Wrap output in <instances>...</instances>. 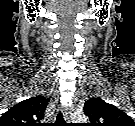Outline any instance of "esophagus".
I'll use <instances>...</instances> for the list:
<instances>
[{
	"label": "esophagus",
	"instance_id": "34e87169",
	"mask_svg": "<svg viewBox=\"0 0 135 126\" xmlns=\"http://www.w3.org/2000/svg\"><path fill=\"white\" fill-rule=\"evenodd\" d=\"M73 110H74V105L67 107L64 111V118L67 123L70 122V118Z\"/></svg>",
	"mask_w": 135,
	"mask_h": 126
}]
</instances>
